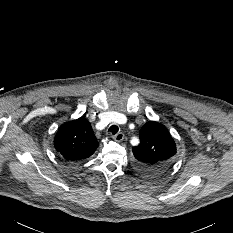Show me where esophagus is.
<instances>
[{"mask_svg": "<svg viewBox=\"0 0 233 233\" xmlns=\"http://www.w3.org/2000/svg\"><path fill=\"white\" fill-rule=\"evenodd\" d=\"M113 139L117 142H121L124 139V134L122 132H118L117 134L112 136Z\"/></svg>", "mask_w": 233, "mask_h": 233, "instance_id": "obj_1", "label": "esophagus"}]
</instances>
